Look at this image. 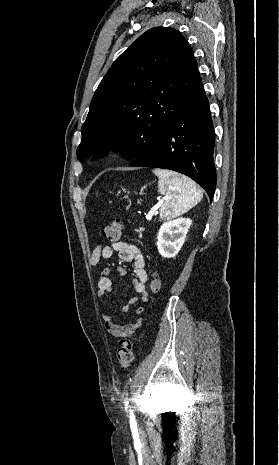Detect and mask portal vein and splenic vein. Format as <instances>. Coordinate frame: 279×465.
Listing matches in <instances>:
<instances>
[{"instance_id": "18ae733b", "label": "portal vein and splenic vein", "mask_w": 279, "mask_h": 465, "mask_svg": "<svg viewBox=\"0 0 279 465\" xmlns=\"http://www.w3.org/2000/svg\"><path fill=\"white\" fill-rule=\"evenodd\" d=\"M162 202H163V200H160L159 205H161ZM153 214H154V212H150L149 214H147V215L145 216L146 220H151Z\"/></svg>"}]
</instances>
